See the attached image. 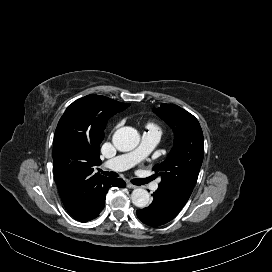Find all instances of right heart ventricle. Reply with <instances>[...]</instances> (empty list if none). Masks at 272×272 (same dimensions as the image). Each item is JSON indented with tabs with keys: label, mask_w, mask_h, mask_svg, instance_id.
I'll use <instances>...</instances> for the list:
<instances>
[{
	"label": "right heart ventricle",
	"mask_w": 272,
	"mask_h": 272,
	"mask_svg": "<svg viewBox=\"0 0 272 272\" xmlns=\"http://www.w3.org/2000/svg\"><path fill=\"white\" fill-rule=\"evenodd\" d=\"M148 128L156 129V126L154 124H148Z\"/></svg>",
	"instance_id": "right-heart-ventricle-1"
}]
</instances>
